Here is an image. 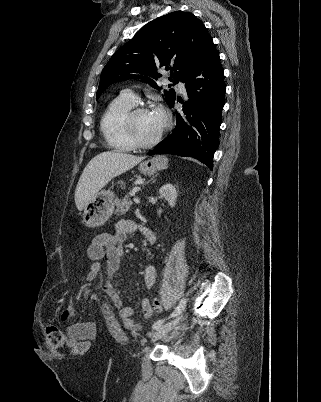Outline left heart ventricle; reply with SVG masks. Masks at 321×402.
Listing matches in <instances>:
<instances>
[{
  "label": "left heart ventricle",
  "instance_id": "obj_1",
  "mask_svg": "<svg viewBox=\"0 0 321 402\" xmlns=\"http://www.w3.org/2000/svg\"><path fill=\"white\" fill-rule=\"evenodd\" d=\"M164 124V118L156 117L151 111L141 112L134 118V127L141 141L153 139Z\"/></svg>",
  "mask_w": 321,
  "mask_h": 402
}]
</instances>
